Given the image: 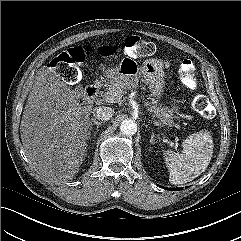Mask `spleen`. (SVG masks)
Here are the masks:
<instances>
[{"label": "spleen", "mask_w": 241, "mask_h": 241, "mask_svg": "<svg viewBox=\"0 0 241 241\" xmlns=\"http://www.w3.org/2000/svg\"><path fill=\"white\" fill-rule=\"evenodd\" d=\"M182 151L164 152L171 184L190 182L208 167L213 154V140L210 131L204 129L189 135L182 143Z\"/></svg>", "instance_id": "3e777b00"}]
</instances>
